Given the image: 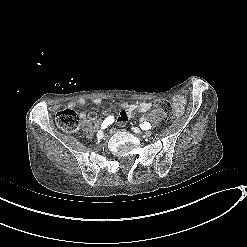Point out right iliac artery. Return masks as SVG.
I'll use <instances>...</instances> for the list:
<instances>
[{
	"label": "right iliac artery",
	"mask_w": 247,
	"mask_h": 247,
	"mask_svg": "<svg viewBox=\"0 0 247 247\" xmlns=\"http://www.w3.org/2000/svg\"><path fill=\"white\" fill-rule=\"evenodd\" d=\"M114 122L113 116H108L102 123V128L105 129L106 127L110 126Z\"/></svg>",
	"instance_id": "obj_1"
}]
</instances>
